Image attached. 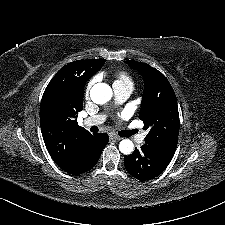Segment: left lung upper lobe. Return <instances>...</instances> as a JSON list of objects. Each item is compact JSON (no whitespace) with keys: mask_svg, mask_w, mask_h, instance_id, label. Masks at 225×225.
<instances>
[{"mask_svg":"<svg viewBox=\"0 0 225 225\" xmlns=\"http://www.w3.org/2000/svg\"><path fill=\"white\" fill-rule=\"evenodd\" d=\"M131 68L142 74L145 83L139 118L148 134L147 145L176 151L179 134L177 99L167 78L146 63L126 61Z\"/></svg>","mask_w":225,"mask_h":225,"instance_id":"left-lung-upper-lobe-1","label":"left lung upper lobe"}]
</instances>
